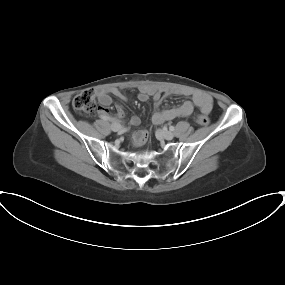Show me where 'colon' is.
Segmentation results:
<instances>
[{
    "mask_svg": "<svg viewBox=\"0 0 285 285\" xmlns=\"http://www.w3.org/2000/svg\"><path fill=\"white\" fill-rule=\"evenodd\" d=\"M96 91L89 89L81 92L73 99V107L84 113H92L97 108ZM196 122L206 126L209 124V118L205 115H198Z\"/></svg>",
    "mask_w": 285,
    "mask_h": 285,
    "instance_id": "5ec220e1",
    "label": "colon"
}]
</instances>
